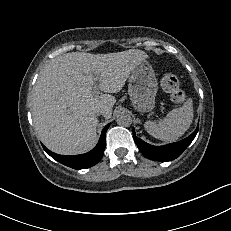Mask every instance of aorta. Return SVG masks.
Here are the masks:
<instances>
[{
  "label": "aorta",
  "instance_id": "1",
  "mask_svg": "<svg viewBox=\"0 0 231 231\" xmlns=\"http://www.w3.org/2000/svg\"><path fill=\"white\" fill-rule=\"evenodd\" d=\"M116 122L120 126L128 127L132 124V117L125 112H121L116 117Z\"/></svg>",
  "mask_w": 231,
  "mask_h": 231
}]
</instances>
